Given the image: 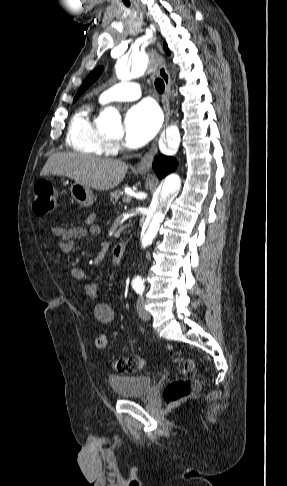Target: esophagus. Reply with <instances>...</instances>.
I'll use <instances>...</instances> for the list:
<instances>
[{"label":"esophagus","instance_id":"obj_1","mask_svg":"<svg viewBox=\"0 0 287 486\" xmlns=\"http://www.w3.org/2000/svg\"><path fill=\"white\" fill-rule=\"evenodd\" d=\"M158 74L161 79L164 81L165 91L162 97V105L165 114L164 124L162 127V131L165 130L166 126L169 123L171 111H170V89H171V81L170 75L166 68L165 62L162 61L160 63ZM157 154V138L151 145L150 149L145 153L142 159L137 163L136 170L139 172H149L152 168V163L154 160L155 155Z\"/></svg>","mask_w":287,"mask_h":486}]
</instances>
